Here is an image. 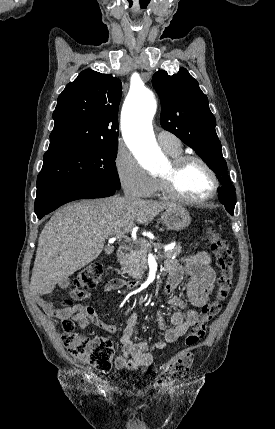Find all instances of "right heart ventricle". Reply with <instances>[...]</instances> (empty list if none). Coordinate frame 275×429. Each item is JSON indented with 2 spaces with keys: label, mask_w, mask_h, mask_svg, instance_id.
<instances>
[{
  "label": "right heart ventricle",
  "mask_w": 275,
  "mask_h": 429,
  "mask_svg": "<svg viewBox=\"0 0 275 429\" xmlns=\"http://www.w3.org/2000/svg\"><path fill=\"white\" fill-rule=\"evenodd\" d=\"M171 157H175L181 154V148L178 150H174V151H169V150H165ZM160 189V184L156 182V187L155 190H159Z\"/></svg>",
  "instance_id": "e07e8e85"
}]
</instances>
